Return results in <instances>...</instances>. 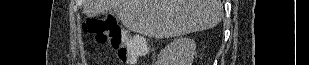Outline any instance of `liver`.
<instances>
[{
  "label": "liver",
  "mask_w": 309,
  "mask_h": 65,
  "mask_svg": "<svg viewBox=\"0 0 309 65\" xmlns=\"http://www.w3.org/2000/svg\"><path fill=\"white\" fill-rule=\"evenodd\" d=\"M222 8L221 0H85L83 12H112L133 32L162 39L215 27Z\"/></svg>",
  "instance_id": "6515ba94"
}]
</instances>
